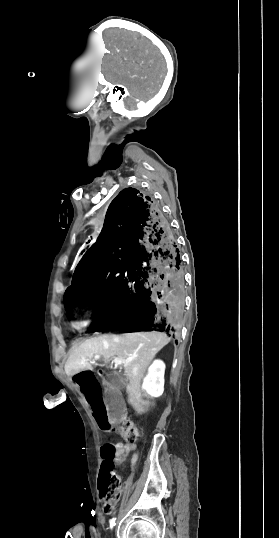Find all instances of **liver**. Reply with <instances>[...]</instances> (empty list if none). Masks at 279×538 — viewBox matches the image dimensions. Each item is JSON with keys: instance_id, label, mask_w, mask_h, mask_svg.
Returning a JSON list of instances; mask_svg holds the SVG:
<instances>
[{"instance_id": "6515ba94", "label": "liver", "mask_w": 279, "mask_h": 538, "mask_svg": "<svg viewBox=\"0 0 279 538\" xmlns=\"http://www.w3.org/2000/svg\"><path fill=\"white\" fill-rule=\"evenodd\" d=\"M169 340L170 338L161 332H135V334H122V336L91 338L74 348L66 362L65 372L78 374L83 370H93L90 364L92 356H103L105 360L120 358L123 360L125 376L129 380L127 394L140 408V412H144L143 408L148 406L149 402L141 398V378L151 360L168 344Z\"/></svg>"}]
</instances>
